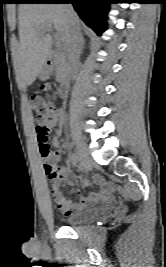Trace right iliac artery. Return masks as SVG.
Returning a JSON list of instances; mask_svg holds the SVG:
<instances>
[{
    "instance_id": "obj_1",
    "label": "right iliac artery",
    "mask_w": 166,
    "mask_h": 267,
    "mask_svg": "<svg viewBox=\"0 0 166 267\" xmlns=\"http://www.w3.org/2000/svg\"><path fill=\"white\" fill-rule=\"evenodd\" d=\"M79 161H80V159H79L78 154L75 152L72 153L71 154V162H72L74 167H79V164H80Z\"/></svg>"
}]
</instances>
